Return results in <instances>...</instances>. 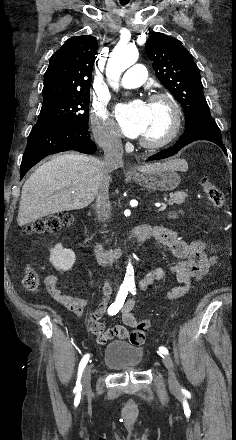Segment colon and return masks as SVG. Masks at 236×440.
Wrapping results in <instances>:
<instances>
[{"label": "colon", "instance_id": "5ec220e1", "mask_svg": "<svg viewBox=\"0 0 236 440\" xmlns=\"http://www.w3.org/2000/svg\"><path fill=\"white\" fill-rule=\"evenodd\" d=\"M201 186L204 193L207 195L213 206L220 209L225 202L222 191L208 178H201ZM73 221V216L69 213L53 214L42 219L35 220L27 227V232L34 235L52 234L69 226ZM23 285L30 291L38 289L40 280L38 274L31 268H27L23 277ZM150 321L142 319L136 330L143 331L142 339H129L132 343L143 340L146 337Z\"/></svg>", "mask_w": 236, "mask_h": 440}]
</instances>
